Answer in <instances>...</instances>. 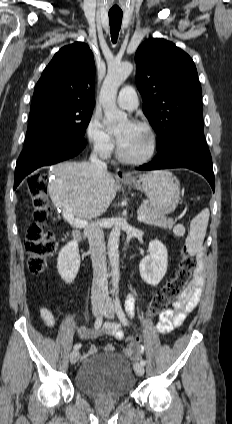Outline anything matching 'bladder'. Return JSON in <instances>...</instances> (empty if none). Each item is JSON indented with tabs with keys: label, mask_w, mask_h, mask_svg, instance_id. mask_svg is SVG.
I'll return each mask as SVG.
<instances>
[{
	"label": "bladder",
	"mask_w": 232,
	"mask_h": 424,
	"mask_svg": "<svg viewBox=\"0 0 232 424\" xmlns=\"http://www.w3.org/2000/svg\"><path fill=\"white\" fill-rule=\"evenodd\" d=\"M75 384L88 396L121 398L133 390L136 379L131 363L121 355H94L81 363Z\"/></svg>",
	"instance_id": "obj_1"
}]
</instances>
